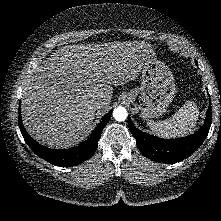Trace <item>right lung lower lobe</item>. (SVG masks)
<instances>
[{"instance_id":"98d812e1","label":"right lung lower lobe","mask_w":221,"mask_h":221,"mask_svg":"<svg viewBox=\"0 0 221 221\" xmlns=\"http://www.w3.org/2000/svg\"><path fill=\"white\" fill-rule=\"evenodd\" d=\"M111 113L112 111H110L103 118V120L98 124L97 128L86 141L79 146L68 150L50 149L33 140L22 124L20 113L19 127L25 142L34 151V153L53 165L67 167L82 163L93 155L98 146V140L100 139L101 133L110 119Z\"/></svg>"}]
</instances>
